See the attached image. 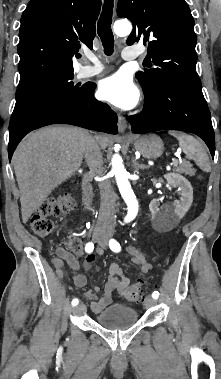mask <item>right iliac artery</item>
Listing matches in <instances>:
<instances>
[{
	"mask_svg": "<svg viewBox=\"0 0 221 379\" xmlns=\"http://www.w3.org/2000/svg\"><path fill=\"white\" fill-rule=\"evenodd\" d=\"M93 250H94V244H93L92 242H88V243L85 245V251H86L87 253H91ZM71 303H72V306H76V305H78V303H79V299L74 298V299L72 300Z\"/></svg>",
	"mask_w": 221,
	"mask_h": 379,
	"instance_id": "1",
	"label": "right iliac artery"
}]
</instances>
